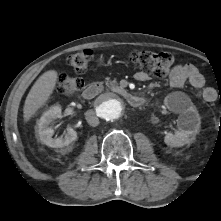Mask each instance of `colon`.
Returning <instances> with one entry per match:
<instances>
[{
    "label": "colon",
    "instance_id": "colon-1",
    "mask_svg": "<svg viewBox=\"0 0 221 221\" xmlns=\"http://www.w3.org/2000/svg\"><path fill=\"white\" fill-rule=\"evenodd\" d=\"M92 59V50L84 49L71 55L68 63L75 72L84 73L88 69ZM130 60L142 72L156 77L166 76L173 63L172 55L165 52L133 51L130 54ZM83 85L84 82L80 77L67 74H61L58 77V90L65 95H73L81 90Z\"/></svg>",
    "mask_w": 221,
    "mask_h": 221
}]
</instances>
